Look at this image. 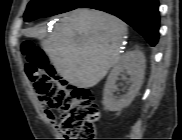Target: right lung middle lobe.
<instances>
[{
    "label": "right lung middle lobe",
    "mask_w": 182,
    "mask_h": 140,
    "mask_svg": "<svg viewBox=\"0 0 182 140\" xmlns=\"http://www.w3.org/2000/svg\"><path fill=\"white\" fill-rule=\"evenodd\" d=\"M87 0H31L24 14L26 22L79 8Z\"/></svg>",
    "instance_id": "obj_1"
}]
</instances>
